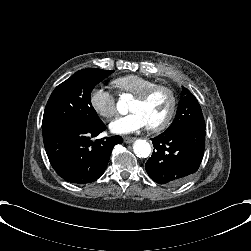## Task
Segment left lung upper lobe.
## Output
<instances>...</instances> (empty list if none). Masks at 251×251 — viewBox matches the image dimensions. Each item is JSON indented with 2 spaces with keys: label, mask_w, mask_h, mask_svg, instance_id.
<instances>
[{
  "label": "left lung upper lobe",
  "mask_w": 251,
  "mask_h": 251,
  "mask_svg": "<svg viewBox=\"0 0 251 251\" xmlns=\"http://www.w3.org/2000/svg\"><path fill=\"white\" fill-rule=\"evenodd\" d=\"M186 127L206 128L201 107L190 91L182 87L176 117L170 127L162 134H168Z\"/></svg>",
  "instance_id": "1"
}]
</instances>
